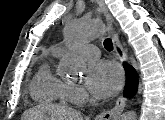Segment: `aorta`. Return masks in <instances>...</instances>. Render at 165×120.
<instances>
[{
    "instance_id": "762f6f07",
    "label": "aorta",
    "mask_w": 165,
    "mask_h": 120,
    "mask_svg": "<svg viewBox=\"0 0 165 120\" xmlns=\"http://www.w3.org/2000/svg\"><path fill=\"white\" fill-rule=\"evenodd\" d=\"M104 31V25L101 22H85L81 19H73L67 22L65 35L68 46L75 47L79 43L100 36ZM63 68L67 73L82 71L84 63L76 58H67L63 61ZM121 120H137V114L129 111L123 114Z\"/></svg>"
}]
</instances>
